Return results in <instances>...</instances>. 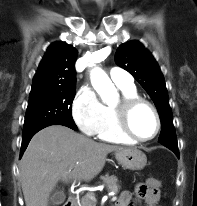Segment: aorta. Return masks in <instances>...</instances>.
<instances>
[{
    "label": "aorta",
    "mask_w": 197,
    "mask_h": 206,
    "mask_svg": "<svg viewBox=\"0 0 197 206\" xmlns=\"http://www.w3.org/2000/svg\"><path fill=\"white\" fill-rule=\"evenodd\" d=\"M93 88L101 96L105 103H111L115 96L116 90L107 74L100 68L95 67L90 73Z\"/></svg>",
    "instance_id": "1"
}]
</instances>
